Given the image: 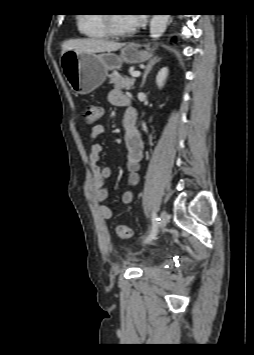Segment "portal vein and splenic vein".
Masks as SVG:
<instances>
[{
  "mask_svg": "<svg viewBox=\"0 0 254 355\" xmlns=\"http://www.w3.org/2000/svg\"><path fill=\"white\" fill-rule=\"evenodd\" d=\"M141 75V73L139 71H134L131 73L132 77H139Z\"/></svg>",
  "mask_w": 254,
  "mask_h": 355,
  "instance_id": "obj_1",
  "label": "portal vein and splenic vein"
}]
</instances>
